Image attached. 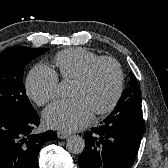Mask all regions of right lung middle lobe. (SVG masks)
I'll return each instance as SVG.
<instances>
[{"label": "right lung middle lobe", "instance_id": "right-lung-middle-lobe-1", "mask_svg": "<svg viewBox=\"0 0 168 168\" xmlns=\"http://www.w3.org/2000/svg\"><path fill=\"white\" fill-rule=\"evenodd\" d=\"M48 48L13 46L0 54V112L30 115L32 107L23 85L24 67Z\"/></svg>", "mask_w": 168, "mask_h": 168}]
</instances>
